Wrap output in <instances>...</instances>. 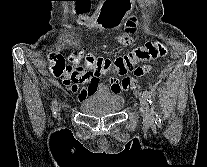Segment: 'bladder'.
I'll return each instance as SVG.
<instances>
[{
	"label": "bladder",
	"instance_id": "31cf9c89",
	"mask_svg": "<svg viewBox=\"0 0 207 167\" xmlns=\"http://www.w3.org/2000/svg\"><path fill=\"white\" fill-rule=\"evenodd\" d=\"M123 106V97L105 95L85 101L81 104V110L87 115L101 117L117 114Z\"/></svg>",
	"mask_w": 207,
	"mask_h": 167
}]
</instances>
